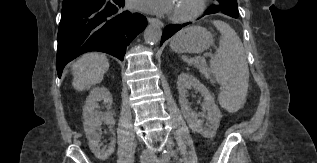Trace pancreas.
Masks as SVG:
<instances>
[{"mask_svg": "<svg viewBox=\"0 0 317 163\" xmlns=\"http://www.w3.org/2000/svg\"><path fill=\"white\" fill-rule=\"evenodd\" d=\"M197 68H199L201 71H206V66H205V63L202 62V61H196L193 63Z\"/></svg>", "mask_w": 317, "mask_h": 163, "instance_id": "cf45deb5", "label": "pancreas"}]
</instances>
